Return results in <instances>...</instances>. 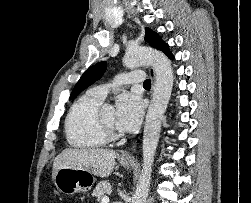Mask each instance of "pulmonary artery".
<instances>
[{
  "instance_id": "1",
  "label": "pulmonary artery",
  "mask_w": 251,
  "mask_h": 203,
  "mask_svg": "<svg viewBox=\"0 0 251 203\" xmlns=\"http://www.w3.org/2000/svg\"><path fill=\"white\" fill-rule=\"evenodd\" d=\"M144 80H145V74L143 72H129L116 76L114 83L134 84V83H141ZM110 87L111 85L109 84L95 86L89 89L88 93L100 100H104Z\"/></svg>"
}]
</instances>
